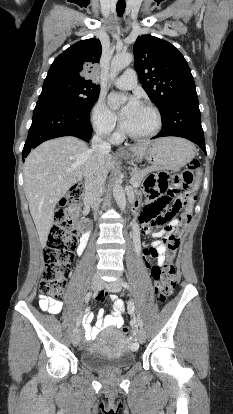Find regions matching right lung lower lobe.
<instances>
[{
    "instance_id": "98d812e1",
    "label": "right lung lower lobe",
    "mask_w": 233,
    "mask_h": 414,
    "mask_svg": "<svg viewBox=\"0 0 233 414\" xmlns=\"http://www.w3.org/2000/svg\"><path fill=\"white\" fill-rule=\"evenodd\" d=\"M89 113L49 99L38 100L22 157L42 142L61 136H75L88 141L92 134Z\"/></svg>"
}]
</instances>
